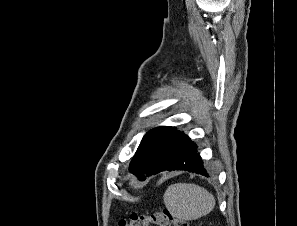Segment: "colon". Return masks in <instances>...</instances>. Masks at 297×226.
Here are the masks:
<instances>
[{
  "label": "colon",
  "mask_w": 297,
  "mask_h": 226,
  "mask_svg": "<svg viewBox=\"0 0 297 226\" xmlns=\"http://www.w3.org/2000/svg\"><path fill=\"white\" fill-rule=\"evenodd\" d=\"M189 226L188 222L162 210L150 215L132 213L118 221V226Z\"/></svg>",
  "instance_id": "obj_1"
}]
</instances>
